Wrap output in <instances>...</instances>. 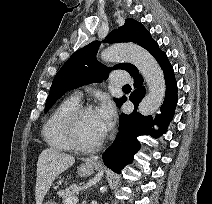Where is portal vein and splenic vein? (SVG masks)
<instances>
[{
    "mask_svg": "<svg viewBox=\"0 0 212 204\" xmlns=\"http://www.w3.org/2000/svg\"><path fill=\"white\" fill-rule=\"evenodd\" d=\"M78 202V197L77 196H74V197H71L67 200L66 204H77Z\"/></svg>",
    "mask_w": 212,
    "mask_h": 204,
    "instance_id": "1",
    "label": "portal vein and splenic vein"
}]
</instances>
